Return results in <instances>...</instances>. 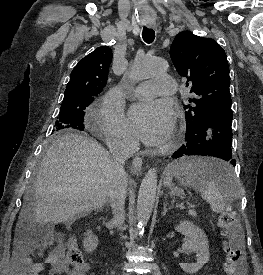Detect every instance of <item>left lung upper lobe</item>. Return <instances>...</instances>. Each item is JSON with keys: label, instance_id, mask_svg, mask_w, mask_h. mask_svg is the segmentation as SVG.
<instances>
[{"label": "left lung upper lobe", "instance_id": "1", "mask_svg": "<svg viewBox=\"0 0 263 275\" xmlns=\"http://www.w3.org/2000/svg\"><path fill=\"white\" fill-rule=\"evenodd\" d=\"M177 72L187 78L197 98L184 105L186 129L193 130L213 111L231 106L229 66L224 49L211 38L179 33L170 49Z\"/></svg>", "mask_w": 263, "mask_h": 275}]
</instances>
